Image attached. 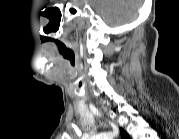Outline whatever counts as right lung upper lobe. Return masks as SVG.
Masks as SVG:
<instances>
[{
	"label": "right lung upper lobe",
	"instance_id": "obj_1",
	"mask_svg": "<svg viewBox=\"0 0 179 139\" xmlns=\"http://www.w3.org/2000/svg\"><path fill=\"white\" fill-rule=\"evenodd\" d=\"M121 136H122L123 139H129L128 134L122 128H121Z\"/></svg>",
	"mask_w": 179,
	"mask_h": 139
}]
</instances>
